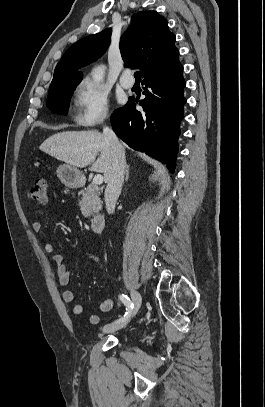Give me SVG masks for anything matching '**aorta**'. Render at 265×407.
I'll return each mask as SVG.
<instances>
[{"label": "aorta", "mask_w": 265, "mask_h": 407, "mask_svg": "<svg viewBox=\"0 0 265 407\" xmlns=\"http://www.w3.org/2000/svg\"><path fill=\"white\" fill-rule=\"evenodd\" d=\"M105 66L100 65L92 71V78L95 82H100L103 79Z\"/></svg>", "instance_id": "762f6f07"}]
</instances>
